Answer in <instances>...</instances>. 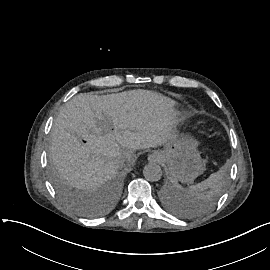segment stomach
<instances>
[{"instance_id":"stomach-1","label":"stomach","mask_w":270,"mask_h":270,"mask_svg":"<svg viewBox=\"0 0 270 270\" xmlns=\"http://www.w3.org/2000/svg\"><path fill=\"white\" fill-rule=\"evenodd\" d=\"M199 141L191 134L175 133L163 147L149 156V161L165 163L171 180L192 183L205 170V161L197 147Z\"/></svg>"}]
</instances>
